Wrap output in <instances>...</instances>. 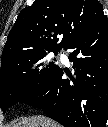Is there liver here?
Here are the masks:
<instances>
[{"label": "liver", "mask_w": 108, "mask_h": 127, "mask_svg": "<svg viewBox=\"0 0 108 127\" xmlns=\"http://www.w3.org/2000/svg\"><path fill=\"white\" fill-rule=\"evenodd\" d=\"M14 127H60V125L45 116L38 115L23 118Z\"/></svg>", "instance_id": "6515ba94"}]
</instances>
